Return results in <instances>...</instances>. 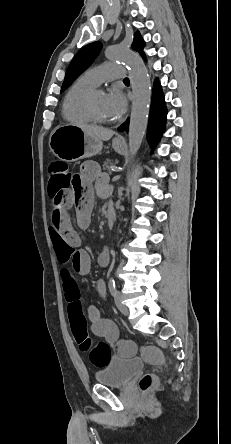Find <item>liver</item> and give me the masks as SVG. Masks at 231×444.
<instances>
[{"mask_svg": "<svg viewBox=\"0 0 231 444\" xmlns=\"http://www.w3.org/2000/svg\"><path fill=\"white\" fill-rule=\"evenodd\" d=\"M77 126L81 128L85 133L92 135L101 141H107L114 135V131L98 126L86 124H79Z\"/></svg>", "mask_w": 231, "mask_h": 444, "instance_id": "1", "label": "liver"}]
</instances>
